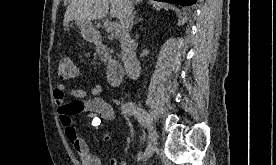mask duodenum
Returning a JSON list of instances; mask_svg holds the SVG:
<instances>
[{"instance_id":"obj_1","label":"duodenum","mask_w":276,"mask_h":165,"mask_svg":"<svg viewBox=\"0 0 276 165\" xmlns=\"http://www.w3.org/2000/svg\"><path fill=\"white\" fill-rule=\"evenodd\" d=\"M92 41L98 45H102V39L100 35H94L92 37ZM107 75L112 86H117L120 84L124 76V67L119 59L114 58L109 61Z\"/></svg>"}]
</instances>
